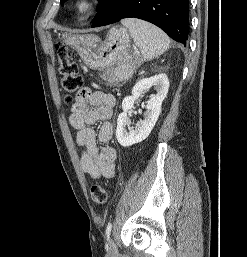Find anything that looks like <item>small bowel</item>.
Wrapping results in <instances>:
<instances>
[{"label":"small bowel","instance_id":"obj_1","mask_svg":"<svg viewBox=\"0 0 247 257\" xmlns=\"http://www.w3.org/2000/svg\"><path fill=\"white\" fill-rule=\"evenodd\" d=\"M115 98L101 91L81 88L74 100L69 123L76 130V142L83 148L81 168L93 179L112 178L115 173L117 153L107 145L113 136L110 119ZM100 123L98 131L92 126ZM98 143L104 144L99 148Z\"/></svg>","mask_w":247,"mask_h":257}]
</instances>
